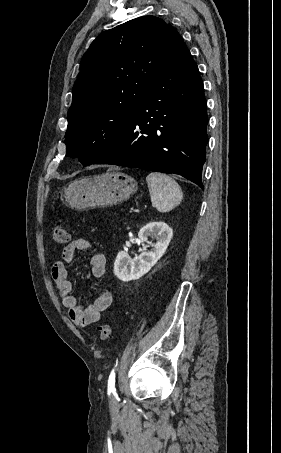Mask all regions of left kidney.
<instances>
[{
  "mask_svg": "<svg viewBox=\"0 0 281 453\" xmlns=\"http://www.w3.org/2000/svg\"><path fill=\"white\" fill-rule=\"evenodd\" d=\"M173 231L163 220L148 222L138 233L142 243H148L146 247H153L151 251H143L138 257L131 259L128 253L120 251L114 263V273L120 281H136L156 265L157 261L163 257L171 239ZM148 237H154L157 243H150Z\"/></svg>",
  "mask_w": 281,
  "mask_h": 453,
  "instance_id": "left-kidney-1",
  "label": "left kidney"
}]
</instances>
